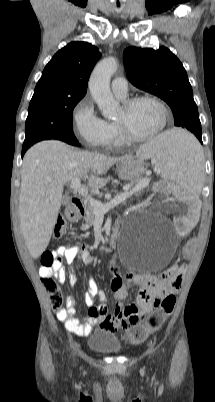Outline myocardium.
I'll use <instances>...</instances> for the list:
<instances>
[{"label":"myocardium","instance_id":"f54148a6","mask_svg":"<svg viewBox=\"0 0 215 402\" xmlns=\"http://www.w3.org/2000/svg\"><path fill=\"white\" fill-rule=\"evenodd\" d=\"M141 101H151L153 103H155L161 110L162 112V123L160 125V127L154 131L151 134L148 135H144V136H138L133 134L126 122L124 120H117L116 124L117 127L119 129V132L122 136V138L129 143H142V142H146V141H150L155 139L156 137H158L161 133H163L165 131V129L167 128L168 125V121H169V110L166 106V104L158 97L153 96V95H139V96H135V97H131L128 98L126 100L123 101V105H122V109L127 112L128 110H130L135 104H137L138 102Z\"/></svg>","mask_w":215,"mask_h":402}]
</instances>
